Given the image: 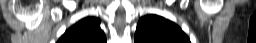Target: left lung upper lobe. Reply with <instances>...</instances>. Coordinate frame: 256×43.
Wrapping results in <instances>:
<instances>
[{"instance_id":"obj_1","label":"left lung upper lobe","mask_w":256,"mask_h":43,"mask_svg":"<svg viewBox=\"0 0 256 43\" xmlns=\"http://www.w3.org/2000/svg\"><path fill=\"white\" fill-rule=\"evenodd\" d=\"M134 38L135 43H191L175 23L154 14L139 20Z\"/></svg>"}]
</instances>
